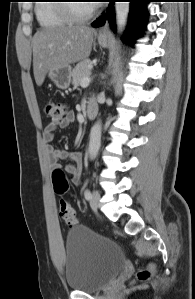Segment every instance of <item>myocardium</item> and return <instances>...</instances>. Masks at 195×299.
Here are the masks:
<instances>
[{
    "instance_id": "obj_1",
    "label": "myocardium",
    "mask_w": 195,
    "mask_h": 299,
    "mask_svg": "<svg viewBox=\"0 0 195 299\" xmlns=\"http://www.w3.org/2000/svg\"><path fill=\"white\" fill-rule=\"evenodd\" d=\"M73 3H63L60 4L62 12L67 16V18L74 23H83L90 20L96 14V8L92 5V9L85 13L80 14L75 11Z\"/></svg>"
}]
</instances>
